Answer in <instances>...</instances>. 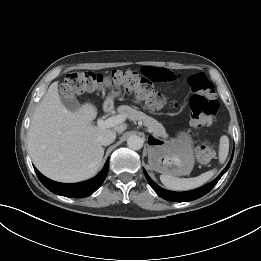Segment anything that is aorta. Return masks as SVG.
<instances>
[{
    "instance_id": "aorta-1",
    "label": "aorta",
    "mask_w": 261,
    "mask_h": 261,
    "mask_svg": "<svg viewBox=\"0 0 261 261\" xmlns=\"http://www.w3.org/2000/svg\"><path fill=\"white\" fill-rule=\"evenodd\" d=\"M143 140L139 136H130L127 140V146L132 150H140L143 147Z\"/></svg>"
}]
</instances>
